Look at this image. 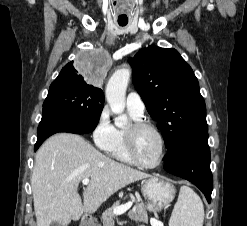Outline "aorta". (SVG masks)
Masks as SVG:
<instances>
[{
	"mask_svg": "<svg viewBox=\"0 0 247 226\" xmlns=\"http://www.w3.org/2000/svg\"><path fill=\"white\" fill-rule=\"evenodd\" d=\"M131 76L129 68H121L116 70L110 77L106 86V99L111 111L118 115L115 118V125L123 128L127 126L128 119L124 114L126 89Z\"/></svg>",
	"mask_w": 247,
	"mask_h": 226,
	"instance_id": "aorta-1",
	"label": "aorta"
}]
</instances>
